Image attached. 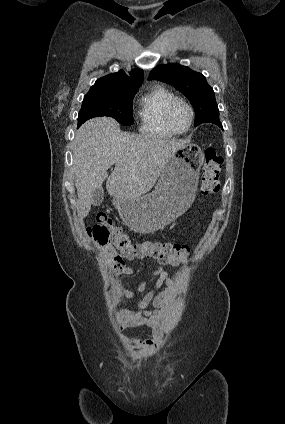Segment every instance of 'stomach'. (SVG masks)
<instances>
[{"label":"stomach","mask_w":285,"mask_h":424,"mask_svg":"<svg viewBox=\"0 0 285 424\" xmlns=\"http://www.w3.org/2000/svg\"><path fill=\"white\" fill-rule=\"evenodd\" d=\"M204 156L195 144L175 150L155 190L139 198L114 199L121 219L135 232L158 231L184 214L193 203Z\"/></svg>","instance_id":"1"}]
</instances>
